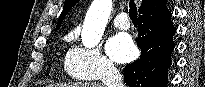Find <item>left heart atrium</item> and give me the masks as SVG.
I'll list each match as a JSON object with an SVG mask.
<instances>
[{
	"instance_id": "39dd6f15",
	"label": "left heart atrium",
	"mask_w": 205,
	"mask_h": 87,
	"mask_svg": "<svg viewBox=\"0 0 205 87\" xmlns=\"http://www.w3.org/2000/svg\"><path fill=\"white\" fill-rule=\"evenodd\" d=\"M107 52L114 61L122 63L133 59L135 46L128 35L117 34L108 41Z\"/></svg>"
}]
</instances>
